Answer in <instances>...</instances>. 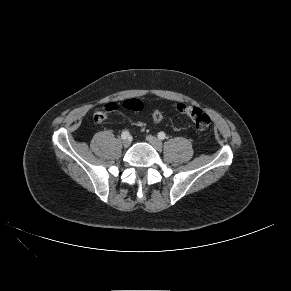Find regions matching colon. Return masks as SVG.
Returning a JSON list of instances; mask_svg holds the SVG:
<instances>
[{
  "label": "colon",
  "instance_id": "1",
  "mask_svg": "<svg viewBox=\"0 0 291 291\" xmlns=\"http://www.w3.org/2000/svg\"><path fill=\"white\" fill-rule=\"evenodd\" d=\"M122 107L130 111H140L143 108V103L138 99H128L123 102ZM116 103H108L102 109L94 114V120L101 122L106 119L109 113L117 110ZM177 111L182 115L191 119L195 128L198 131H206L210 128L211 119L209 115L201 108L180 103L177 105ZM154 123H160L163 119V113L160 110H154L152 113Z\"/></svg>",
  "mask_w": 291,
  "mask_h": 291
}]
</instances>
